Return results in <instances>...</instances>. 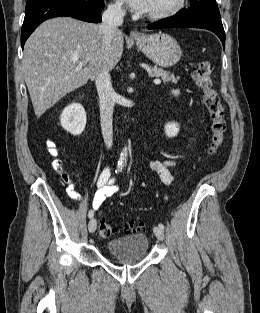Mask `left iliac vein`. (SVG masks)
Here are the masks:
<instances>
[{"label":"left iliac vein","mask_w":260,"mask_h":313,"mask_svg":"<svg viewBox=\"0 0 260 313\" xmlns=\"http://www.w3.org/2000/svg\"><path fill=\"white\" fill-rule=\"evenodd\" d=\"M154 234L158 240L162 241L164 239V231L160 227L153 228Z\"/></svg>","instance_id":"4c4485c4"}]
</instances>
